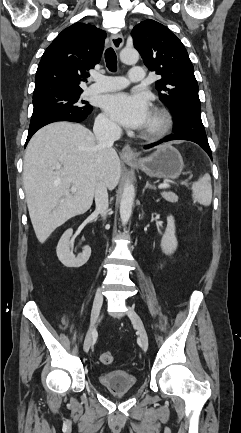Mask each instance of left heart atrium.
Returning a JSON list of instances; mask_svg holds the SVG:
<instances>
[{"label": "left heart atrium", "mask_w": 241, "mask_h": 433, "mask_svg": "<svg viewBox=\"0 0 241 433\" xmlns=\"http://www.w3.org/2000/svg\"><path fill=\"white\" fill-rule=\"evenodd\" d=\"M103 109L126 128H145L151 118V104L143 94L118 92L107 95L103 98Z\"/></svg>", "instance_id": "obj_1"}]
</instances>
